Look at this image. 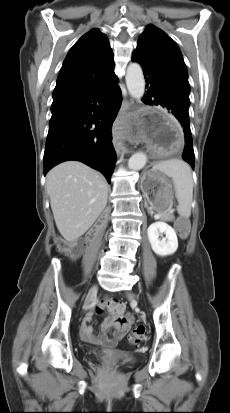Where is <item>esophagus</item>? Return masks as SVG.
Wrapping results in <instances>:
<instances>
[{"label": "esophagus", "instance_id": "34e87169", "mask_svg": "<svg viewBox=\"0 0 230 413\" xmlns=\"http://www.w3.org/2000/svg\"><path fill=\"white\" fill-rule=\"evenodd\" d=\"M132 102L128 103V105L130 106ZM115 150L117 152V154H120L123 151V147L122 146H116Z\"/></svg>", "mask_w": 230, "mask_h": 413}]
</instances>
